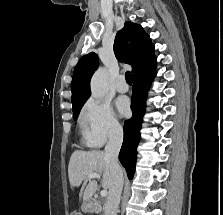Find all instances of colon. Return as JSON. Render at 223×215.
Masks as SVG:
<instances>
[{
	"label": "colon",
	"mask_w": 223,
	"mask_h": 215,
	"mask_svg": "<svg viewBox=\"0 0 223 215\" xmlns=\"http://www.w3.org/2000/svg\"><path fill=\"white\" fill-rule=\"evenodd\" d=\"M69 215H82L79 211H72L69 213Z\"/></svg>",
	"instance_id": "5ec220e1"
}]
</instances>
